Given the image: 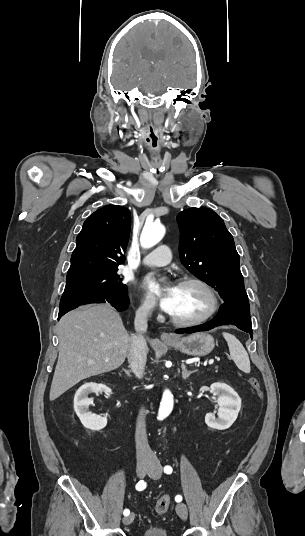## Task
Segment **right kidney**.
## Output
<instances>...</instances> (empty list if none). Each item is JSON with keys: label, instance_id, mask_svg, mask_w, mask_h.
I'll use <instances>...</instances> for the list:
<instances>
[{"label": "right kidney", "instance_id": "ca27d5eb", "mask_svg": "<svg viewBox=\"0 0 305 536\" xmlns=\"http://www.w3.org/2000/svg\"><path fill=\"white\" fill-rule=\"evenodd\" d=\"M91 392H107V396L111 394L110 388H107L104 384H94V382L83 384L74 396V410L85 428L102 430L107 424V418H100V416H95V414H91L87 410L89 404H92L91 398H87Z\"/></svg>", "mask_w": 305, "mask_h": 536}]
</instances>
